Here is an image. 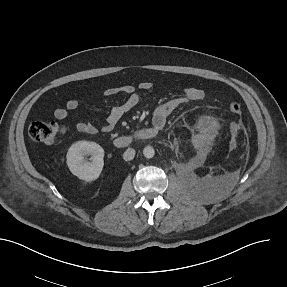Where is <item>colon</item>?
Listing matches in <instances>:
<instances>
[{
	"label": "colon",
	"instance_id": "obj_1",
	"mask_svg": "<svg viewBox=\"0 0 287 287\" xmlns=\"http://www.w3.org/2000/svg\"><path fill=\"white\" fill-rule=\"evenodd\" d=\"M229 110L241 114L243 105L240 99L235 98L229 103ZM64 134V128L54 122H33L29 127V136L35 141L45 145H55Z\"/></svg>",
	"mask_w": 287,
	"mask_h": 287
}]
</instances>
